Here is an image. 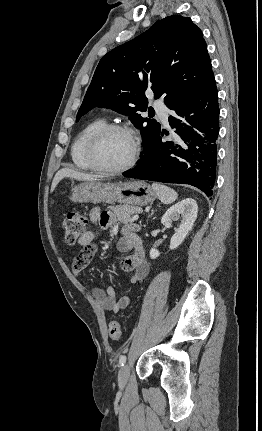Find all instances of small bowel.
Listing matches in <instances>:
<instances>
[{"instance_id":"obj_1","label":"small bowel","mask_w":262,"mask_h":431,"mask_svg":"<svg viewBox=\"0 0 262 431\" xmlns=\"http://www.w3.org/2000/svg\"><path fill=\"white\" fill-rule=\"evenodd\" d=\"M90 220L92 224L98 225L101 228L110 227L114 222L109 212L102 211L98 207L91 210ZM112 231L114 233L120 232L121 234L118 243L119 249L129 252L122 261V266L124 269L131 271V283H142L148 274L149 265L146 260L143 242L138 234V224L128 223L123 225L121 229L113 226ZM93 239L94 235L91 231L85 232L78 239V245L83 247V251L79 256L73 257L71 261L72 274L81 286H85L81 278V272L90 264L97 250ZM93 298L105 311L110 313H118L120 310L129 307L131 303V298L127 295L118 299L114 286H108L105 291L93 289Z\"/></svg>"}]
</instances>
